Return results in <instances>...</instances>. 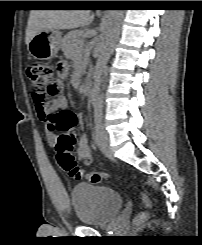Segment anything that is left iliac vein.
I'll return each mask as SVG.
<instances>
[{
	"label": "left iliac vein",
	"mask_w": 202,
	"mask_h": 245,
	"mask_svg": "<svg viewBox=\"0 0 202 245\" xmlns=\"http://www.w3.org/2000/svg\"><path fill=\"white\" fill-rule=\"evenodd\" d=\"M95 140L96 143L101 150V152L107 157V158H112V150L110 147V138H109V133L105 129V126L100 124L97 129H96V134H95Z\"/></svg>",
	"instance_id": "left-iliac-vein-1"
}]
</instances>
